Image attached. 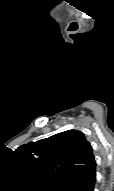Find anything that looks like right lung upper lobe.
Wrapping results in <instances>:
<instances>
[{"instance_id": "cb5924a9", "label": "right lung upper lobe", "mask_w": 114, "mask_h": 191, "mask_svg": "<svg viewBox=\"0 0 114 191\" xmlns=\"http://www.w3.org/2000/svg\"><path fill=\"white\" fill-rule=\"evenodd\" d=\"M15 153L34 179L48 189L88 175L96 167L92 147L78 130H68L29 142L20 146Z\"/></svg>"}]
</instances>
